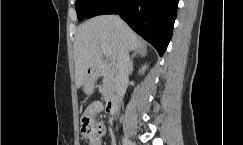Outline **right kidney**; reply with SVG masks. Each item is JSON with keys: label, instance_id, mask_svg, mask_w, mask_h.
<instances>
[{"label": "right kidney", "instance_id": "right-kidney-1", "mask_svg": "<svg viewBox=\"0 0 243 145\" xmlns=\"http://www.w3.org/2000/svg\"><path fill=\"white\" fill-rule=\"evenodd\" d=\"M146 69H147L146 65L142 66V68L139 70V73H144Z\"/></svg>", "mask_w": 243, "mask_h": 145}]
</instances>
